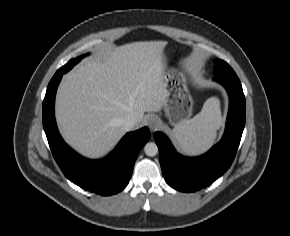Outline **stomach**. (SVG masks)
Listing matches in <instances>:
<instances>
[{
    "label": "stomach",
    "mask_w": 290,
    "mask_h": 236,
    "mask_svg": "<svg viewBox=\"0 0 290 236\" xmlns=\"http://www.w3.org/2000/svg\"><path fill=\"white\" fill-rule=\"evenodd\" d=\"M163 82L167 93L164 111L173 125L188 119L192 114L193 98L185 76L174 69H164Z\"/></svg>",
    "instance_id": "0dacf381"
}]
</instances>
